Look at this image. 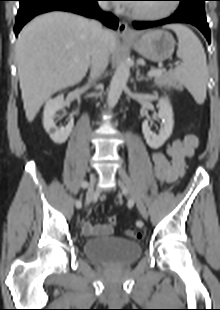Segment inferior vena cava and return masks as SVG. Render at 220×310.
Here are the masks:
<instances>
[{"label":"inferior vena cava","instance_id":"602c4592","mask_svg":"<svg viewBox=\"0 0 220 310\" xmlns=\"http://www.w3.org/2000/svg\"><path fill=\"white\" fill-rule=\"evenodd\" d=\"M99 6L107 11L108 4L100 1ZM91 27V53H90V83L95 82L105 71L109 63V50L107 44L108 31L102 28L100 22L90 21Z\"/></svg>","mask_w":220,"mask_h":310}]
</instances>
